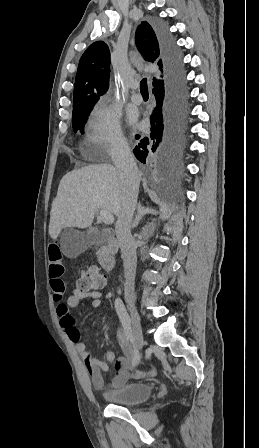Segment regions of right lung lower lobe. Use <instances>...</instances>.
I'll return each mask as SVG.
<instances>
[{
    "label": "right lung lower lobe",
    "mask_w": 259,
    "mask_h": 448,
    "mask_svg": "<svg viewBox=\"0 0 259 448\" xmlns=\"http://www.w3.org/2000/svg\"><path fill=\"white\" fill-rule=\"evenodd\" d=\"M155 30L160 42L164 84L153 89L156 107L150 116V137L142 138L133 153L140 162L146 163L156 152L167 175L176 176L182 171L188 152L187 81L181 54L168 27L156 23ZM135 139H140V135Z\"/></svg>",
    "instance_id": "right-lung-lower-lobe-1"
}]
</instances>
